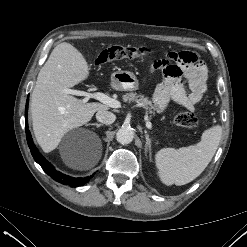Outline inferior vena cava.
<instances>
[{
  "mask_svg": "<svg viewBox=\"0 0 247 247\" xmlns=\"http://www.w3.org/2000/svg\"><path fill=\"white\" fill-rule=\"evenodd\" d=\"M96 119L106 125L114 123L116 116L107 110H99L96 113Z\"/></svg>",
  "mask_w": 247,
  "mask_h": 247,
  "instance_id": "1",
  "label": "inferior vena cava"
}]
</instances>
